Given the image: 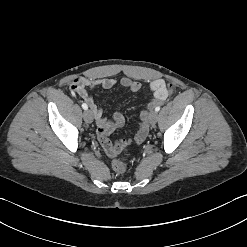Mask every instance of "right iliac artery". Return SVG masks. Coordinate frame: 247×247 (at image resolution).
I'll list each match as a JSON object with an SVG mask.
<instances>
[{"label": "right iliac artery", "mask_w": 247, "mask_h": 247, "mask_svg": "<svg viewBox=\"0 0 247 247\" xmlns=\"http://www.w3.org/2000/svg\"><path fill=\"white\" fill-rule=\"evenodd\" d=\"M82 108H83L84 110H87V109H88L87 104L83 103V104H82Z\"/></svg>", "instance_id": "obj_1"}]
</instances>
